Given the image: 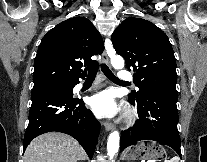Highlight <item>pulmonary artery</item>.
<instances>
[{
	"label": "pulmonary artery",
	"instance_id": "e3ab8cb5",
	"mask_svg": "<svg viewBox=\"0 0 207 162\" xmlns=\"http://www.w3.org/2000/svg\"><path fill=\"white\" fill-rule=\"evenodd\" d=\"M119 79L123 82V83H127V81H129L131 79V74L130 73H119ZM79 87H81V85H79Z\"/></svg>",
	"mask_w": 207,
	"mask_h": 162
}]
</instances>
